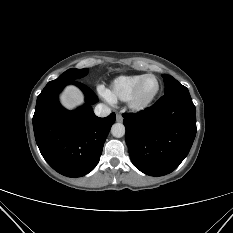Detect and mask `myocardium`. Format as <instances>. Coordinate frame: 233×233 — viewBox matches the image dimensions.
<instances>
[{
	"instance_id": "myocardium-1",
	"label": "myocardium",
	"mask_w": 233,
	"mask_h": 233,
	"mask_svg": "<svg viewBox=\"0 0 233 233\" xmlns=\"http://www.w3.org/2000/svg\"><path fill=\"white\" fill-rule=\"evenodd\" d=\"M147 78H154L156 80V82H157V88H156L154 94L149 99H147L145 101H140L139 98H138V94H139V91H140V88H141L143 82ZM159 92H160V82H159L158 78L153 74H145L138 81V83L134 87L132 93L130 94L129 98L127 99L128 107L133 112H136V113L143 112V111L147 110L153 104V102L157 98Z\"/></svg>"
}]
</instances>
